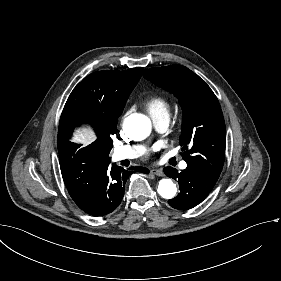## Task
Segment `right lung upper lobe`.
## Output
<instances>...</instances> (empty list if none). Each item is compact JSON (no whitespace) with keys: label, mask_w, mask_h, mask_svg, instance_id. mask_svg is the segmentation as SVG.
Masks as SVG:
<instances>
[{"label":"right lung upper lobe","mask_w":281,"mask_h":281,"mask_svg":"<svg viewBox=\"0 0 281 281\" xmlns=\"http://www.w3.org/2000/svg\"><path fill=\"white\" fill-rule=\"evenodd\" d=\"M143 68L124 71L104 70L94 72L83 79L71 92L61 114L57 145L74 146V151L88 149L108 158L110 151L101 147L107 131L116 128L125 103L138 83ZM90 124L97 139L85 148H80L69 139L75 127Z\"/></svg>","instance_id":"obj_1"}]
</instances>
